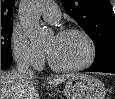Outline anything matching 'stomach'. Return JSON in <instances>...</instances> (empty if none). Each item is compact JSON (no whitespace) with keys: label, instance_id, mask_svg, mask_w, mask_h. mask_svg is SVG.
Instances as JSON below:
<instances>
[{"label":"stomach","instance_id":"obj_1","mask_svg":"<svg viewBox=\"0 0 115 99\" xmlns=\"http://www.w3.org/2000/svg\"><path fill=\"white\" fill-rule=\"evenodd\" d=\"M64 91L67 99H104L106 95L104 84L85 74L74 75L68 79Z\"/></svg>","mask_w":115,"mask_h":99}]
</instances>
